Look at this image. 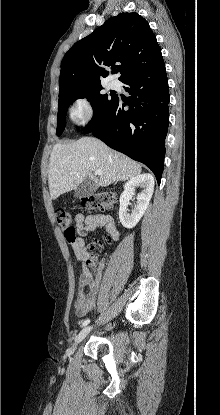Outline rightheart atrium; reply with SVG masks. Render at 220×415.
Segmentation results:
<instances>
[{"label": "right heart atrium", "mask_w": 220, "mask_h": 415, "mask_svg": "<svg viewBox=\"0 0 220 415\" xmlns=\"http://www.w3.org/2000/svg\"><path fill=\"white\" fill-rule=\"evenodd\" d=\"M95 115V108L91 100L86 97L79 98L70 110L71 119L78 125H85Z\"/></svg>", "instance_id": "d8ad5b80"}]
</instances>
